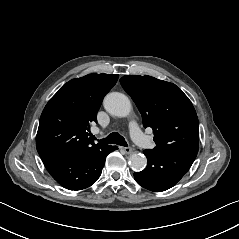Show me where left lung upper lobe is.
Wrapping results in <instances>:
<instances>
[{
	"instance_id": "left-lung-upper-lobe-1",
	"label": "left lung upper lobe",
	"mask_w": 239,
	"mask_h": 239,
	"mask_svg": "<svg viewBox=\"0 0 239 239\" xmlns=\"http://www.w3.org/2000/svg\"><path fill=\"white\" fill-rule=\"evenodd\" d=\"M120 83L137 105L144 127L153 129L156 143L153 150L198 152V117L179 87L140 75H125Z\"/></svg>"
}]
</instances>
